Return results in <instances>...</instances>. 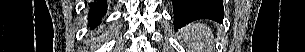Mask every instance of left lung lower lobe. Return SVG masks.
Returning a JSON list of instances; mask_svg holds the SVG:
<instances>
[{
	"mask_svg": "<svg viewBox=\"0 0 305 52\" xmlns=\"http://www.w3.org/2000/svg\"><path fill=\"white\" fill-rule=\"evenodd\" d=\"M172 3L175 29L184 26L175 22L176 16L184 10L198 9L200 11H204L207 13L206 19H212L217 22H221L224 17L222 0H172Z\"/></svg>",
	"mask_w": 305,
	"mask_h": 52,
	"instance_id": "1",
	"label": "left lung lower lobe"
}]
</instances>
